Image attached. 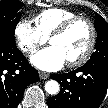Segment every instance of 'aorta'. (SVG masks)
<instances>
[{
  "label": "aorta",
  "mask_w": 108,
  "mask_h": 108,
  "mask_svg": "<svg viewBox=\"0 0 108 108\" xmlns=\"http://www.w3.org/2000/svg\"><path fill=\"white\" fill-rule=\"evenodd\" d=\"M59 89H60V85L55 80L47 81L46 84H45L46 92L51 94V95L57 94L59 92Z\"/></svg>",
  "instance_id": "obj_1"
}]
</instances>
